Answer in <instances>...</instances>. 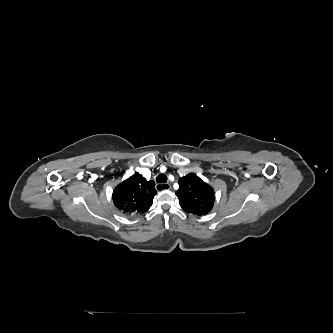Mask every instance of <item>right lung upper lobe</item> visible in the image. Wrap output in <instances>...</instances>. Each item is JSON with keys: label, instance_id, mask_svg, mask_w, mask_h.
Segmentation results:
<instances>
[{"label": "right lung upper lobe", "instance_id": "obj_1", "mask_svg": "<svg viewBox=\"0 0 333 333\" xmlns=\"http://www.w3.org/2000/svg\"><path fill=\"white\" fill-rule=\"evenodd\" d=\"M154 181H147L136 173L119 184L113 191L114 205L126 215L146 212L156 193Z\"/></svg>", "mask_w": 333, "mask_h": 333}]
</instances>
